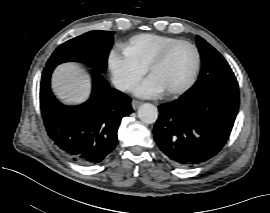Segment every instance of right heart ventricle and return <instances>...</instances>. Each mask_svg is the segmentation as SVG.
Instances as JSON below:
<instances>
[{
  "label": "right heart ventricle",
  "instance_id": "right-heart-ventricle-1",
  "mask_svg": "<svg viewBox=\"0 0 270 213\" xmlns=\"http://www.w3.org/2000/svg\"><path fill=\"white\" fill-rule=\"evenodd\" d=\"M180 39L156 34H143L133 38L124 51L128 58L142 66L149 63L165 48Z\"/></svg>",
  "mask_w": 270,
  "mask_h": 213
}]
</instances>
